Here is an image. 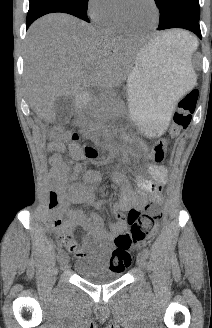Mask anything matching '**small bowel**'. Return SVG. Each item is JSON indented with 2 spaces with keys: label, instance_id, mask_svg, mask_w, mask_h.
Segmentation results:
<instances>
[{
  "label": "small bowel",
  "instance_id": "small-bowel-1",
  "mask_svg": "<svg viewBox=\"0 0 212 328\" xmlns=\"http://www.w3.org/2000/svg\"><path fill=\"white\" fill-rule=\"evenodd\" d=\"M68 148L73 158L70 161L65 160L60 153L66 149V146L48 145V150L53 152L49 156L50 173L61 190V201L64 205H91L96 209H104L105 202L96 201L94 197L95 184L103 180H110L118 184L121 188V197L112 205V213L116 221L108 227L105 226L104 220L99 214L87 213L76 208L69 209L67 222L62 220L61 225L55 227L63 230L72 225L82 226L87 234L81 241V247L78 249L79 255L83 256L85 251H89L98 265L107 266L111 270H124L125 268L118 266V262L111 264L110 259L108 260L110 243L114 237L124 233L128 223L125 216L126 211L142 208L148 200L156 203L161 201L167 170L163 165L151 164L148 177L137 180L134 186L120 172L109 173L93 170L80 177L82 168L75 160L79 159L82 153L75 144H70Z\"/></svg>",
  "mask_w": 212,
  "mask_h": 328
}]
</instances>
